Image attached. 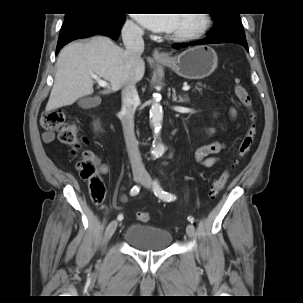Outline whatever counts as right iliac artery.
<instances>
[{
  "mask_svg": "<svg viewBox=\"0 0 303 303\" xmlns=\"http://www.w3.org/2000/svg\"><path fill=\"white\" fill-rule=\"evenodd\" d=\"M139 191H140V186L139 185H135L132 189H131V191H130V194L132 195V196H134V195H137L138 193H139ZM118 220H123V215L122 214H119L118 215Z\"/></svg>",
  "mask_w": 303,
  "mask_h": 303,
  "instance_id": "82829eb1",
  "label": "right iliac artery"
}]
</instances>
